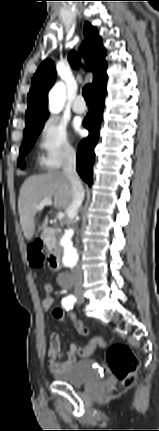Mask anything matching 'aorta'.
Wrapping results in <instances>:
<instances>
[{"instance_id":"1","label":"aorta","mask_w":159,"mask_h":431,"mask_svg":"<svg viewBox=\"0 0 159 431\" xmlns=\"http://www.w3.org/2000/svg\"><path fill=\"white\" fill-rule=\"evenodd\" d=\"M65 103V85L58 82L49 92V109L53 113L61 111ZM74 233L71 230L63 233V263L68 267H74L78 263L77 250L71 245Z\"/></svg>"}]
</instances>
